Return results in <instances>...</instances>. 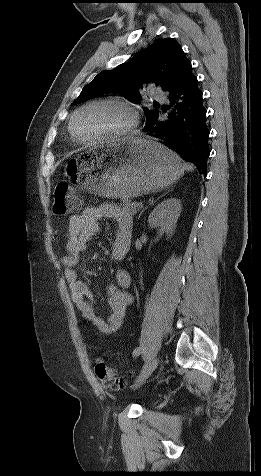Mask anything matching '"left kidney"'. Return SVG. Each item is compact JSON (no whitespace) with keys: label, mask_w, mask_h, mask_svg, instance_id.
<instances>
[{"label":"left kidney","mask_w":261,"mask_h":476,"mask_svg":"<svg viewBox=\"0 0 261 476\" xmlns=\"http://www.w3.org/2000/svg\"><path fill=\"white\" fill-rule=\"evenodd\" d=\"M182 205L177 198H168L159 203L150 213L148 223L151 227H160L168 237L173 235Z\"/></svg>","instance_id":"1"}]
</instances>
